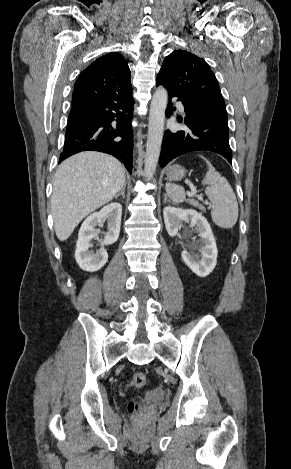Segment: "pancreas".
I'll return each mask as SVG.
<instances>
[{"mask_svg":"<svg viewBox=\"0 0 291 469\" xmlns=\"http://www.w3.org/2000/svg\"><path fill=\"white\" fill-rule=\"evenodd\" d=\"M186 202L202 211H205V207L201 204H199V202L195 199H187Z\"/></svg>","mask_w":291,"mask_h":469,"instance_id":"obj_1","label":"pancreas"}]
</instances>
